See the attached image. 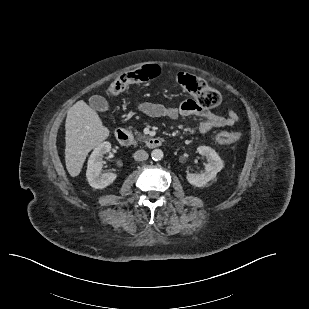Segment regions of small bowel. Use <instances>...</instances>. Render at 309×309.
I'll return each instance as SVG.
<instances>
[{"instance_id":"c3829d8e","label":"small bowel","mask_w":309,"mask_h":309,"mask_svg":"<svg viewBox=\"0 0 309 309\" xmlns=\"http://www.w3.org/2000/svg\"><path fill=\"white\" fill-rule=\"evenodd\" d=\"M138 110L142 114L154 118L166 117L177 119L179 116H197L202 119L198 129L203 134L208 133L214 128L231 127L239 120V116L232 109H228L227 114L222 116L202 108L192 99L172 106L143 102L138 106Z\"/></svg>"}]
</instances>
